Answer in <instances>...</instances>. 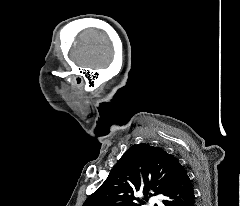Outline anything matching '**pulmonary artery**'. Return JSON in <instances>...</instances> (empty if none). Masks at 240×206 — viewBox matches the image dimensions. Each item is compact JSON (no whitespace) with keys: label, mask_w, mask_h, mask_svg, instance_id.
<instances>
[{"label":"pulmonary artery","mask_w":240,"mask_h":206,"mask_svg":"<svg viewBox=\"0 0 240 206\" xmlns=\"http://www.w3.org/2000/svg\"><path fill=\"white\" fill-rule=\"evenodd\" d=\"M156 201H157V200H156L155 198H151V199H150V202H151L152 204H154Z\"/></svg>","instance_id":"1"}]
</instances>
